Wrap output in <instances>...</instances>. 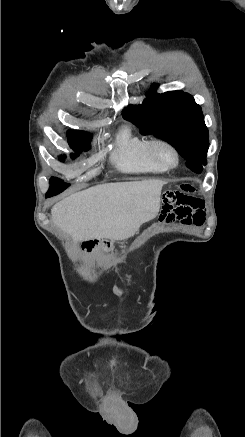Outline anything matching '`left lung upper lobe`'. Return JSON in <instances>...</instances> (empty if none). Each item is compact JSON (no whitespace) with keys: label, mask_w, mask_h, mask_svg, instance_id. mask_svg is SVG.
Listing matches in <instances>:
<instances>
[{"label":"left lung upper lobe","mask_w":245,"mask_h":437,"mask_svg":"<svg viewBox=\"0 0 245 437\" xmlns=\"http://www.w3.org/2000/svg\"><path fill=\"white\" fill-rule=\"evenodd\" d=\"M157 86L152 85L141 105H128L123 116L138 126L142 134H153L171 144L187 160V166L199 173L202 164H206L209 148L201 107L188 93L158 94Z\"/></svg>","instance_id":"5c2ea615"}]
</instances>
